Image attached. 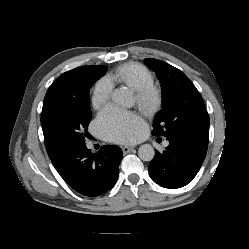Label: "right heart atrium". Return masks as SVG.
I'll list each match as a JSON object with an SVG mask.
<instances>
[{
    "instance_id": "obj_1",
    "label": "right heart atrium",
    "mask_w": 249,
    "mask_h": 249,
    "mask_svg": "<svg viewBox=\"0 0 249 249\" xmlns=\"http://www.w3.org/2000/svg\"><path fill=\"white\" fill-rule=\"evenodd\" d=\"M114 89L112 80L105 76L99 79L92 92V103L96 108H100L108 103Z\"/></svg>"
}]
</instances>
